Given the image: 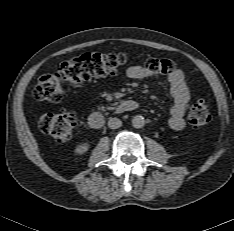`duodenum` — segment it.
I'll return each mask as SVG.
<instances>
[{"label": "duodenum", "instance_id": "410a0bca", "mask_svg": "<svg viewBox=\"0 0 234 231\" xmlns=\"http://www.w3.org/2000/svg\"><path fill=\"white\" fill-rule=\"evenodd\" d=\"M138 104L134 100H125L116 107V113L123 114L133 112L137 109ZM87 122L92 129H101L104 126L105 119L99 112H94L89 115Z\"/></svg>", "mask_w": 234, "mask_h": 231}]
</instances>
